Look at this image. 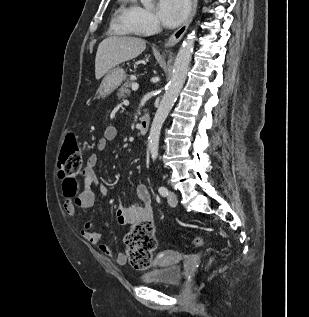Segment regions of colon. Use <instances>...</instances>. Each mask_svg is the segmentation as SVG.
I'll list each match as a JSON object with an SVG mask.
<instances>
[{
    "mask_svg": "<svg viewBox=\"0 0 309 317\" xmlns=\"http://www.w3.org/2000/svg\"><path fill=\"white\" fill-rule=\"evenodd\" d=\"M81 164L82 157L76 136L73 133H68L65 136L58 161L59 179L64 184L74 182L81 169ZM125 243L129 251L131 265L137 270H145L153 264H159L170 254L169 252L160 253L153 260L152 254L156 249V238L152 223L146 221L137 222L132 226L126 235ZM202 243L200 237L193 240L195 247H200ZM212 260L210 258L209 263Z\"/></svg>",
    "mask_w": 309,
    "mask_h": 317,
    "instance_id": "colon-1",
    "label": "colon"
}]
</instances>
